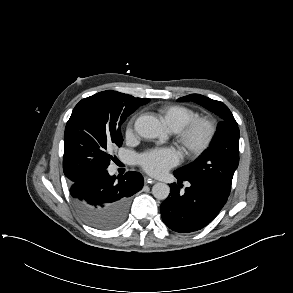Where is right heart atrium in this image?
<instances>
[{
  "instance_id": "d8ad5b80",
  "label": "right heart atrium",
  "mask_w": 293,
  "mask_h": 293,
  "mask_svg": "<svg viewBox=\"0 0 293 293\" xmlns=\"http://www.w3.org/2000/svg\"><path fill=\"white\" fill-rule=\"evenodd\" d=\"M133 132V120L131 119L128 124H127V127H126V135L127 136H130Z\"/></svg>"
}]
</instances>
